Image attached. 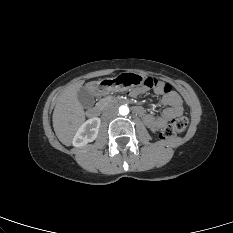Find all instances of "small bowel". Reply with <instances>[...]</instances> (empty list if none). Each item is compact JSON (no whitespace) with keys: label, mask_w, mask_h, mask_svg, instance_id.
Segmentation results:
<instances>
[{"label":"small bowel","mask_w":233,"mask_h":233,"mask_svg":"<svg viewBox=\"0 0 233 233\" xmlns=\"http://www.w3.org/2000/svg\"><path fill=\"white\" fill-rule=\"evenodd\" d=\"M146 89L148 88L145 87L143 89L136 90L132 94L136 96L144 92ZM153 91L157 95L162 96V103L166 106L162 114L156 117L150 113H145L144 109L141 107H137L136 113L143 117V120L147 126L154 129H160L164 127L168 121L182 114V100L180 96L171 89L168 92H163L159 87H156L153 88Z\"/></svg>","instance_id":"1"}]
</instances>
